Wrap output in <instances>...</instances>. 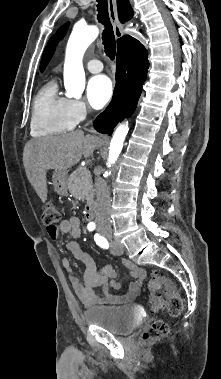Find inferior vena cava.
I'll list each match as a JSON object with an SVG mask.
<instances>
[{"instance_id": "obj_1", "label": "inferior vena cava", "mask_w": 221, "mask_h": 379, "mask_svg": "<svg viewBox=\"0 0 221 379\" xmlns=\"http://www.w3.org/2000/svg\"><path fill=\"white\" fill-rule=\"evenodd\" d=\"M95 188L97 196V213H96V224L99 230L110 231V193L107 188L106 182L101 178L97 177L95 179Z\"/></svg>"}]
</instances>
